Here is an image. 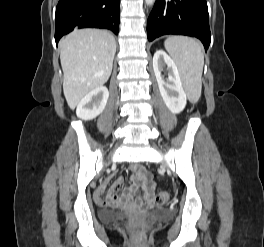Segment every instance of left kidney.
Masks as SVG:
<instances>
[{"instance_id": "left-kidney-1", "label": "left kidney", "mask_w": 264, "mask_h": 247, "mask_svg": "<svg viewBox=\"0 0 264 247\" xmlns=\"http://www.w3.org/2000/svg\"><path fill=\"white\" fill-rule=\"evenodd\" d=\"M167 65L168 79L164 80L161 73ZM153 69L160 94L167 108L178 114L186 106L187 95L183 89L181 78L174 61L163 50H157L153 56Z\"/></svg>"}]
</instances>
